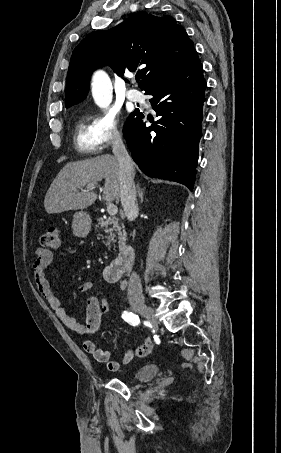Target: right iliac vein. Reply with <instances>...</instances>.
<instances>
[{"instance_id":"right-iliac-vein-1","label":"right iliac vein","mask_w":281,"mask_h":453,"mask_svg":"<svg viewBox=\"0 0 281 453\" xmlns=\"http://www.w3.org/2000/svg\"><path fill=\"white\" fill-rule=\"evenodd\" d=\"M134 308L143 312V316L146 317L151 323H153V329L158 331L160 326L156 322V318L154 317V311L152 308L148 307V304L145 301H133Z\"/></svg>"}]
</instances>
